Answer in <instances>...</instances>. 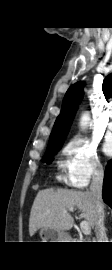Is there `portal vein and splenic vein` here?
I'll return each instance as SVG.
<instances>
[{
  "mask_svg": "<svg viewBox=\"0 0 112 270\" xmlns=\"http://www.w3.org/2000/svg\"><path fill=\"white\" fill-rule=\"evenodd\" d=\"M80 228L85 235H89L91 233V227L87 221H81Z\"/></svg>",
  "mask_w": 112,
  "mask_h": 270,
  "instance_id": "18ae733b",
  "label": "portal vein and splenic vein"
}]
</instances>
